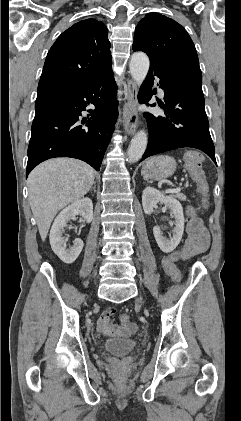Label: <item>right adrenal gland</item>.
Returning a JSON list of instances; mask_svg holds the SVG:
<instances>
[{
    "mask_svg": "<svg viewBox=\"0 0 241 421\" xmlns=\"http://www.w3.org/2000/svg\"><path fill=\"white\" fill-rule=\"evenodd\" d=\"M93 190V192L95 193L96 192V185H95V182H94V186L90 189V191H92Z\"/></svg>",
    "mask_w": 241,
    "mask_h": 421,
    "instance_id": "obj_1",
    "label": "right adrenal gland"
}]
</instances>
